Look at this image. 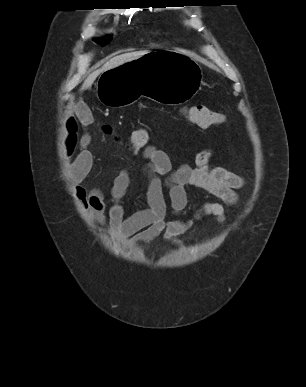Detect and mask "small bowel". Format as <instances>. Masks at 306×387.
<instances>
[{
	"mask_svg": "<svg viewBox=\"0 0 306 387\" xmlns=\"http://www.w3.org/2000/svg\"><path fill=\"white\" fill-rule=\"evenodd\" d=\"M78 119L85 128L84 132L78 136L77 121L70 117L65 124L64 144L68 156H71L76 148L79 149L70 168L72 180L76 184L74 193L82 207L91 212L96 225H108L116 235L131 238L134 242L150 243L162 237L174 245L182 246L180 237L188 232L195 222L214 217L218 224L223 225L226 220V206H237V191L244 184L243 178L225 168L212 166L211 149L200 151L193 165L183 163L173 167L166 152L147 145L141 152V156L146 160L143 170L148 182L147 207L125 216L121 201L129 188L131 177L127 169H122L113 180L110 190L111 206L107 209L101 189L87 190L80 184L93 163V155L88 149L91 135L86 131L92 124L93 117L91 112L84 108L78 112ZM187 186L202 189L219 201H207L190 218L180 219L177 216L182 214L188 204ZM165 190L172 214L176 216L170 220L166 219Z\"/></svg>",
	"mask_w": 306,
	"mask_h": 387,
	"instance_id": "c3829d8e",
	"label": "small bowel"
}]
</instances>
